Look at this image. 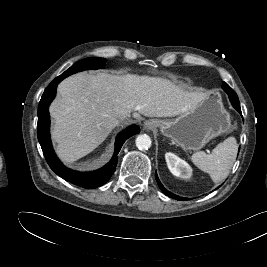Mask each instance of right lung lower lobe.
Here are the masks:
<instances>
[{"instance_id":"1","label":"right lung lower lobe","mask_w":267,"mask_h":267,"mask_svg":"<svg viewBox=\"0 0 267 267\" xmlns=\"http://www.w3.org/2000/svg\"><path fill=\"white\" fill-rule=\"evenodd\" d=\"M63 80L61 77L55 78L45 89L38 106V140L43 154L50 168L61 178L75 185L92 189L105 184L116 169L119 153L123 143L129 137L140 132L137 125H132L121 132L115 142V152L110 162L99 170L91 172H79L65 167L57 158L50 141L49 127L50 116L49 105L54 99L58 83Z\"/></svg>"}]
</instances>
